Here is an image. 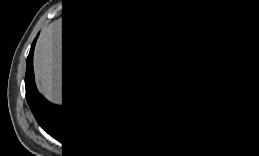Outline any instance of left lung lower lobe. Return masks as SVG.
Wrapping results in <instances>:
<instances>
[{"instance_id":"0a47b994","label":"left lung lower lobe","mask_w":259,"mask_h":156,"mask_svg":"<svg viewBox=\"0 0 259 156\" xmlns=\"http://www.w3.org/2000/svg\"><path fill=\"white\" fill-rule=\"evenodd\" d=\"M164 60L163 55L145 59L144 63L158 66L142 81L141 103L149 128L158 137L173 141L190 133L193 117L201 110L215 108L216 99L208 89L194 92L189 68H181L177 74L172 71L174 67ZM205 120H198L196 125L201 127Z\"/></svg>"}]
</instances>
